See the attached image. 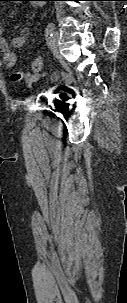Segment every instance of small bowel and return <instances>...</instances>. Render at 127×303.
<instances>
[{
  "mask_svg": "<svg viewBox=\"0 0 127 303\" xmlns=\"http://www.w3.org/2000/svg\"><path fill=\"white\" fill-rule=\"evenodd\" d=\"M26 40V32L14 37L10 42H8L3 35L2 27L0 26V55H1V64L4 68L11 69L15 67L17 63V54L13 48H19L23 46ZM27 81L35 80L34 74H27Z\"/></svg>",
  "mask_w": 127,
  "mask_h": 303,
  "instance_id": "small-bowel-1",
  "label": "small bowel"
}]
</instances>
